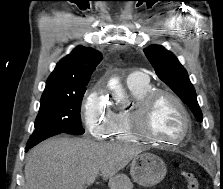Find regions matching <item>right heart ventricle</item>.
I'll return each instance as SVG.
<instances>
[{
	"instance_id": "1",
	"label": "right heart ventricle",
	"mask_w": 223,
	"mask_h": 189,
	"mask_svg": "<svg viewBox=\"0 0 223 189\" xmlns=\"http://www.w3.org/2000/svg\"><path fill=\"white\" fill-rule=\"evenodd\" d=\"M135 101H138L147 93L152 91V86L148 82L140 86H128ZM131 109H122L113 113V121L109 135L121 142H134L137 140L132 132L129 116Z\"/></svg>"
}]
</instances>
